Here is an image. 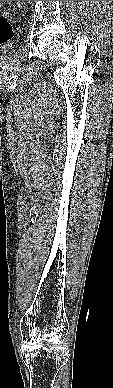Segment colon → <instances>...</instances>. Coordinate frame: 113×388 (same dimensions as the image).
Masks as SVG:
<instances>
[{"instance_id":"obj_1","label":"colon","mask_w":113,"mask_h":388,"mask_svg":"<svg viewBox=\"0 0 113 388\" xmlns=\"http://www.w3.org/2000/svg\"><path fill=\"white\" fill-rule=\"evenodd\" d=\"M12 37L11 17L7 14H0V44L8 42Z\"/></svg>"}]
</instances>
